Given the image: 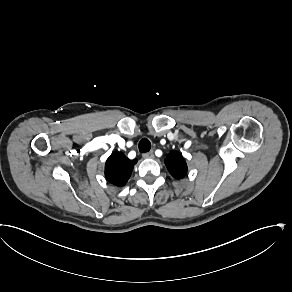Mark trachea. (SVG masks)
<instances>
[{
	"label": "trachea",
	"instance_id": "obj_1",
	"mask_svg": "<svg viewBox=\"0 0 292 292\" xmlns=\"http://www.w3.org/2000/svg\"><path fill=\"white\" fill-rule=\"evenodd\" d=\"M151 149V142L148 138H142L139 142V151L141 153L149 152Z\"/></svg>",
	"mask_w": 292,
	"mask_h": 292
}]
</instances>
